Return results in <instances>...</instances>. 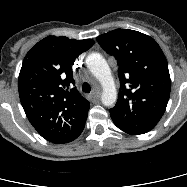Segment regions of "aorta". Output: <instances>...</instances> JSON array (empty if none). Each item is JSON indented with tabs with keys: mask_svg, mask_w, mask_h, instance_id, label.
Instances as JSON below:
<instances>
[{
	"mask_svg": "<svg viewBox=\"0 0 187 187\" xmlns=\"http://www.w3.org/2000/svg\"><path fill=\"white\" fill-rule=\"evenodd\" d=\"M86 65L102 85V104L108 107L114 105L117 100V91L110 67L106 60L99 53H91L86 58Z\"/></svg>",
	"mask_w": 187,
	"mask_h": 187,
	"instance_id": "1",
	"label": "aorta"
}]
</instances>
